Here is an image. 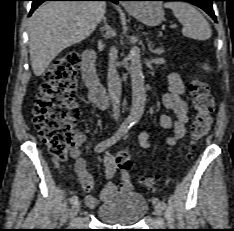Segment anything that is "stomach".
I'll list each match as a JSON object with an SVG mask.
<instances>
[{
  "label": "stomach",
  "instance_id": "stomach-1",
  "mask_svg": "<svg viewBox=\"0 0 234 231\" xmlns=\"http://www.w3.org/2000/svg\"><path fill=\"white\" fill-rule=\"evenodd\" d=\"M132 15L141 23L148 26H157L164 19V11L159 2L140 3L132 11Z\"/></svg>",
  "mask_w": 234,
  "mask_h": 231
}]
</instances>
